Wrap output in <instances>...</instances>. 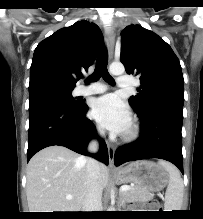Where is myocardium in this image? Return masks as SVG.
Listing matches in <instances>:
<instances>
[{"mask_svg": "<svg viewBox=\"0 0 203 219\" xmlns=\"http://www.w3.org/2000/svg\"><path fill=\"white\" fill-rule=\"evenodd\" d=\"M140 130L137 124H131L122 135V140L127 143L134 142L138 139Z\"/></svg>", "mask_w": 203, "mask_h": 219, "instance_id": "obj_1", "label": "myocardium"}]
</instances>
